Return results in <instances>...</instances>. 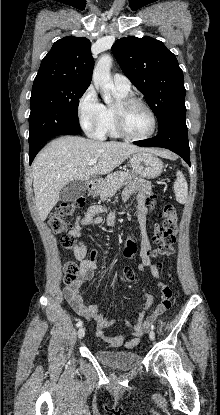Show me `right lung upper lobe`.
<instances>
[{
	"mask_svg": "<svg viewBox=\"0 0 220 415\" xmlns=\"http://www.w3.org/2000/svg\"><path fill=\"white\" fill-rule=\"evenodd\" d=\"M87 38L73 36L56 41L43 58L34 83L55 81L89 86L94 59Z\"/></svg>",
	"mask_w": 220,
	"mask_h": 415,
	"instance_id": "cb5924a9",
	"label": "right lung upper lobe"
}]
</instances>
